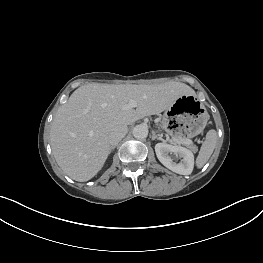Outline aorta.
I'll return each mask as SVG.
<instances>
[{"instance_id":"aorta-1","label":"aorta","mask_w":263,"mask_h":263,"mask_svg":"<svg viewBox=\"0 0 263 263\" xmlns=\"http://www.w3.org/2000/svg\"><path fill=\"white\" fill-rule=\"evenodd\" d=\"M133 136L136 139H145L148 135V128L145 125H137L133 128Z\"/></svg>"}]
</instances>
